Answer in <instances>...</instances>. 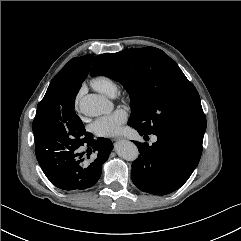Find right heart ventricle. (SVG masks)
<instances>
[{
	"label": "right heart ventricle",
	"mask_w": 241,
	"mask_h": 241,
	"mask_svg": "<svg viewBox=\"0 0 241 241\" xmlns=\"http://www.w3.org/2000/svg\"><path fill=\"white\" fill-rule=\"evenodd\" d=\"M90 83L95 90L107 96H114L118 89L116 82L106 75L95 76Z\"/></svg>",
	"instance_id": "right-heart-ventricle-1"
}]
</instances>
